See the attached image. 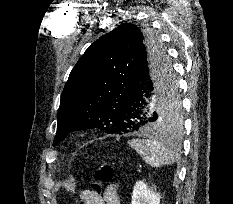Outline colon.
I'll list each match as a JSON object with an SVG mask.
<instances>
[{
  "label": "colon",
  "instance_id": "colon-1",
  "mask_svg": "<svg viewBox=\"0 0 233 204\" xmlns=\"http://www.w3.org/2000/svg\"><path fill=\"white\" fill-rule=\"evenodd\" d=\"M114 176V168L109 164H103L97 168L94 173L93 182L91 183L90 192L99 195L101 194L102 185L110 182Z\"/></svg>",
  "mask_w": 233,
  "mask_h": 204
}]
</instances>
